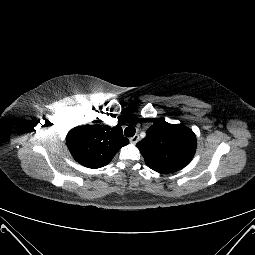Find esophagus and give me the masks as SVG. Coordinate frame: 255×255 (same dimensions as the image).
<instances>
[{
    "instance_id": "obj_1",
    "label": "esophagus",
    "mask_w": 255,
    "mask_h": 255,
    "mask_svg": "<svg viewBox=\"0 0 255 255\" xmlns=\"http://www.w3.org/2000/svg\"><path fill=\"white\" fill-rule=\"evenodd\" d=\"M139 141V136L134 135L133 137L130 138V143L131 144H136Z\"/></svg>"
}]
</instances>
